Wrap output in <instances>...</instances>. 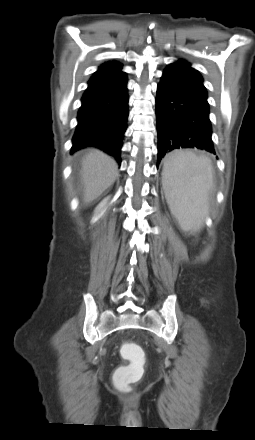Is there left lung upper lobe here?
<instances>
[{
	"instance_id": "5c2ea615",
	"label": "left lung upper lobe",
	"mask_w": 255,
	"mask_h": 440,
	"mask_svg": "<svg viewBox=\"0 0 255 440\" xmlns=\"http://www.w3.org/2000/svg\"><path fill=\"white\" fill-rule=\"evenodd\" d=\"M168 67L178 71L190 81L206 89L203 85V78L201 74L197 70L192 68L190 63H188L187 61L179 59L177 62L170 64Z\"/></svg>"
}]
</instances>
